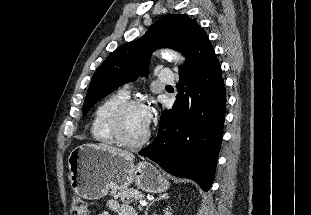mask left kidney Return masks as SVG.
Here are the masks:
<instances>
[{"label": "left kidney", "instance_id": "5707ae66", "mask_svg": "<svg viewBox=\"0 0 311 215\" xmlns=\"http://www.w3.org/2000/svg\"><path fill=\"white\" fill-rule=\"evenodd\" d=\"M165 215H170V213L168 211H166Z\"/></svg>", "mask_w": 311, "mask_h": 215}]
</instances>
